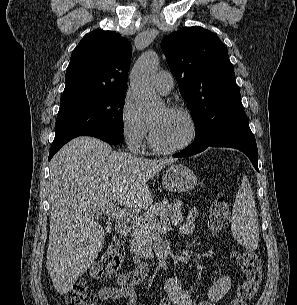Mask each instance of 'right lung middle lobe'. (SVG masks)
<instances>
[{
	"mask_svg": "<svg viewBox=\"0 0 297 305\" xmlns=\"http://www.w3.org/2000/svg\"><path fill=\"white\" fill-rule=\"evenodd\" d=\"M125 93L89 94L60 100L52 148L89 133L123 134Z\"/></svg>",
	"mask_w": 297,
	"mask_h": 305,
	"instance_id": "obj_1",
	"label": "right lung middle lobe"
}]
</instances>
